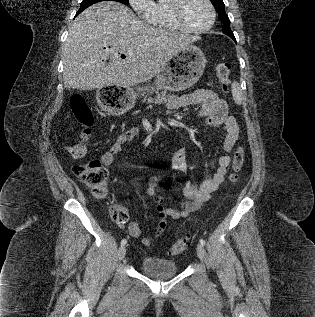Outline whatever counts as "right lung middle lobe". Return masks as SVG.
Masks as SVG:
<instances>
[{"mask_svg":"<svg viewBox=\"0 0 315 317\" xmlns=\"http://www.w3.org/2000/svg\"><path fill=\"white\" fill-rule=\"evenodd\" d=\"M101 1H107V0H83L81 2L80 9H79L77 14L82 12L87 7H89V6H91V5L95 4V3L101 2ZM108 1H117V2H120V3H123V4H129V0H108Z\"/></svg>","mask_w":315,"mask_h":317,"instance_id":"right-lung-middle-lobe-1","label":"right lung middle lobe"}]
</instances>
